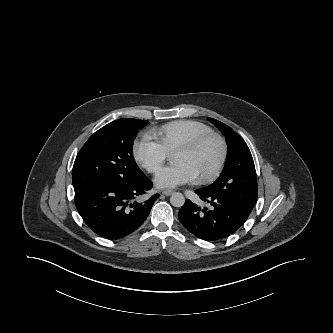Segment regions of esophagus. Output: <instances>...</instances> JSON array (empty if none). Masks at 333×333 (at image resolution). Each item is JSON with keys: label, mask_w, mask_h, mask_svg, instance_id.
<instances>
[{"label": "esophagus", "mask_w": 333, "mask_h": 333, "mask_svg": "<svg viewBox=\"0 0 333 333\" xmlns=\"http://www.w3.org/2000/svg\"><path fill=\"white\" fill-rule=\"evenodd\" d=\"M173 193V191L172 190H169V189H167V190H163L162 191V194H164V195H166V196H169V195H171Z\"/></svg>", "instance_id": "34e87169"}]
</instances>
